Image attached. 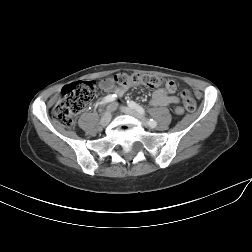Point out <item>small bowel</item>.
Wrapping results in <instances>:
<instances>
[{
  "mask_svg": "<svg viewBox=\"0 0 252 252\" xmlns=\"http://www.w3.org/2000/svg\"><path fill=\"white\" fill-rule=\"evenodd\" d=\"M127 87L115 86L114 84L109 83L107 80L101 82V88L104 91L111 92L116 96H122L125 90L127 89ZM175 90H176V86L172 89H170L169 87H165L164 89H158L154 91L150 104L155 107H162V106H167V105H178L180 102V99L178 96L174 94Z\"/></svg>",
  "mask_w": 252,
  "mask_h": 252,
  "instance_id": "small-bowel-1",
  "label": "small bowel"
}]
</instances>
